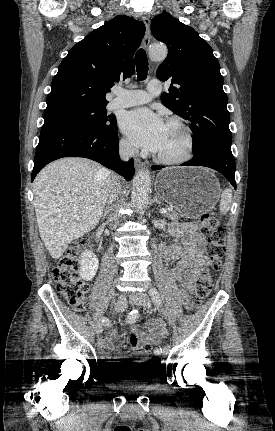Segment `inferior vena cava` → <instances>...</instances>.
<instances>
[{
	"mask_svg": "<svg viewBox=\"0 0 275 431\" xmlns=\"http://www.w3.org/2000/svg\"><path fill=\"white\" fill-rule=\"evenodd\" d=\"M135 149L128 143H122L120 145V156L123 160L127 161L134 154ZM121 189L120 177L115 173H109L106 180V192L109 198L108 204H111L118 197Z\"/></svg>",
	"mask_w": 275,
	"mask_h": 431,
	"instance_id": "obj_1",
	"label": "inferior vena cava"
}]
</instances>
